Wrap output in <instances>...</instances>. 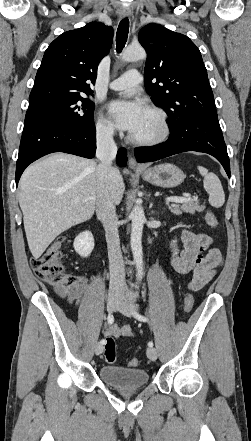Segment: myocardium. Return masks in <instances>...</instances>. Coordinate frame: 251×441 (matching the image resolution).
I'll list each match as a JSON object with an SVG mask.
<instances>
[{
    "mask_svg": "<svg viewBox=\"0 0 251 441\" xmlns=\"http://www.w3.org/2000/svg\"><path fill=\"white\" fill-rule=\"evenodd\" d=\"M146 109L153 112L158 117L161 127L160 133L155 137L145 138V139L137 138L132 134H130L129 140L131 143L138 146H146V147L156 146L165 142L170 136L171 128L168 120V115L162 108L158 106L150 105Z\"/></svg>",
    "mask_w": 251,
    "mask_h": 441,
    "instance_id": "obj_1",
    "label": "myocardium"
}]
</instances>
